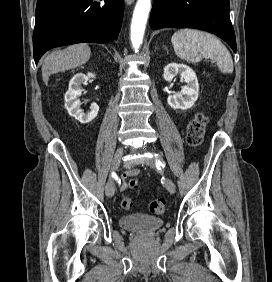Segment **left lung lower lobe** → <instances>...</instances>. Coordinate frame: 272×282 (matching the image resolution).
Listing matches in <instances>:
<instances>
[{
  "mask_svg": "<svg viewBox=\"0 0 272 282\" xmlns=\"http://www.w3.org/2000/svg\"><path fill=\"white\" fill-rule=\"evenodd\" d=\"M229 7V0H158L152 8L150 26L201 29L219 36L236 52Z\"/></svg>",
  "mask_w": 272,
  "mask_h": 282,
  "instance_id": "obj_1",
  "label": "left lung lower lobe"
}]
</instances>
